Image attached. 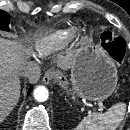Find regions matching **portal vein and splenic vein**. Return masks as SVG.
<instances>
[{
  "label": "portal vein and splenic vein",
  "instance_id": "18ae733b",
  "mask_svg": "<svg viewBox=\"0 0 130 130\" xmlns=\"http://www.w3.org/2000/svg\"><path fill=\"white\" fill-rule=\"evenodd\" d=\"M98 105L100 106V108L102 110L103 109V104L101 102H99Z\"/></svg>",
  "mask_w": 130,
  "mask_h": 130
}]
</instances>
